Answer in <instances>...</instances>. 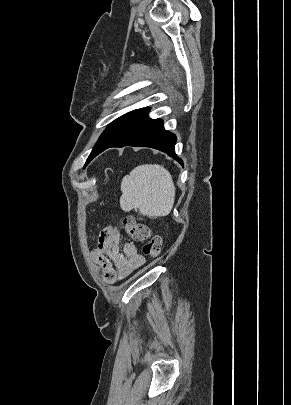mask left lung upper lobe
Returning a JSON list of instances; mask_svg holds the SVG:
<instances>
[{"instance_id":"1","label":"left lung upper lobe","mask_w":291,"mask_h":405,"mask_svg":"<svg viewBox=\"0 0 291 405\" xmlns=\"http://www.w3.org/2000/svg\"><path fill=\"white\" fill-rule=\"evenodd\" d=\"M135 112H136V110L131 111V112L117 118L115 121H113L111 124H109V126L102 133V135L100 136L96 145L94 146L85 165H87L96 156V154L99 150L105 148L107 145L112 144L123 134V132L126 130L128 125L130 124L131 120L133 119Z\"/></svg>"}]
</instances>
